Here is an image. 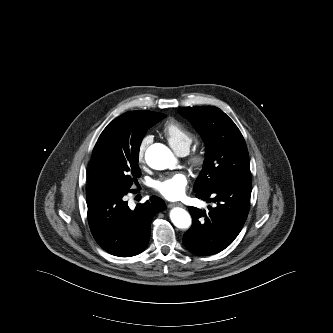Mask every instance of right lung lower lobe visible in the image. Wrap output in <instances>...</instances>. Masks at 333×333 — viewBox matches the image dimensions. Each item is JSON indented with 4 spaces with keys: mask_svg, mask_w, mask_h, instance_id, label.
I'll return each mask as SVG.
<instances>
[{
    "mask_svg": "<svg viewBox=\"0 0 333 333\" xmlns=\"http://www.w3.org/2000/svg\"><path fill=\"white\" fill-rule=\"evenodd\" d=\"M127 191L88 189V221L97 243L110 254L120 257L142 252L149 241L155 214L164 210V201L152 196L131 210L123 196Z\"/></svg>",
    "mask_w": 333,
    "mask_h": 333,
    "instance_id": "obj_1",
    "label": "right lung lower lobe"
}]
</instances>
